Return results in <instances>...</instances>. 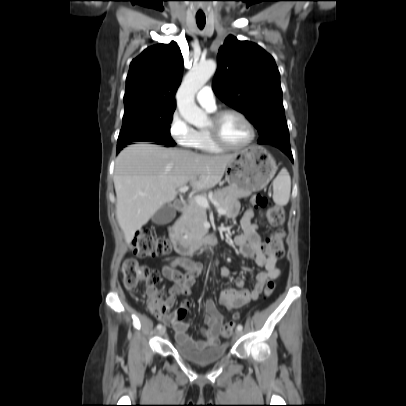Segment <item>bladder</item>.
I'll use <instances>...</instances> for the list:
<instances>
[{
	"label": "bladder",
	"instance_id": "bladder-1",
	"mask_svg": "<svg viewBox=\"0 0 406 406\" xmlns=\"http://www.w3.org/2000/svg\"><path fill=\"white\" fill-rule=\"evenodd\" d=\"M176 350L183 358L196 364H210L222 359L228 350L227 345L190 346L176 341Z\"/></svg>",
	"mask_w": 406,
	"mask_h": 406
}]
</instances>
